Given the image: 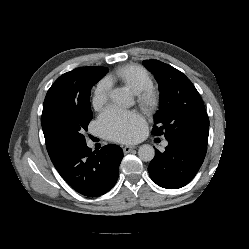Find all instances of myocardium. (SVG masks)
Instances as JSON below:
<instances>
[{"label":"myocardium","instance_id":"obj_1","mask_svg":"<svg viewBox=\"0 0 249 249\" xmlns=\"http://www.w3.org/2000/svg\"><path fill=\"white\" fill-rule=\"evenodd\" d=\"M160 93L153 87H148L137 93V104L145 114H152L160 105Z\"/></svg>","mask_w":249,"mask_h":249}]
</instances>
